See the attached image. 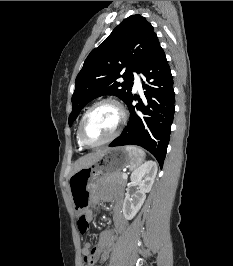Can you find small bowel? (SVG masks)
<instances>
[{
	"label": "small bowel",
	"mask_w": 233,
	"mask_h": 266,
	"mask_svg": "<svg viewBox=\"0 0 233 266\" xmlns=\"http://www.w3.org/2000/svg\"><path fill=\"white\" fill-rule=\"evenodd\" d=\"M99 198L100 196L96 195L94 201L97 202ZM104 199L109 200V197H104ZM86 218L89 221L91 215L89 214ZM113 224V228L100 233L98 243L93 248L91 247L90 241H84L82 255L86 266H93L97 261L100 263L106 262L118 233L125 230L127 226V222L121 212V201L118 198L114 200ZM88 256L91 257L90 263H86V257Z\"/></svg>",
	"instance_id": "small-bowel-1"
}]
</instances>
